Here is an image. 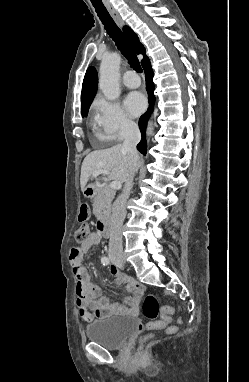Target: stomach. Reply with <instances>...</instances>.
<instances>
[{"instance_id": "0dacf381", "label": "stomach", "mask_w": 249, "mask_h": 382, "mask_svg": "<svg viewBox=\"0 0 249 382\" xmlns=\"http://www.w3.org/2000/svg\"><path fill=\"white\" fill-rule=\"evenodd\" d=\"M84 195L88 198H93L94 197V194H95V190H94V187H92L91 184H88L86 189L84 190Z\"/></svg>"}]
</instances>
